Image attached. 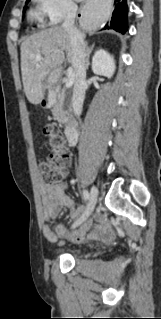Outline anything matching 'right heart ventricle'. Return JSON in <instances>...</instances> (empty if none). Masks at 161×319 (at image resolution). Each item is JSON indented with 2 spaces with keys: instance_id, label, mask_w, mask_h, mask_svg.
Wrapping results in <instances>:
<instances>
[{
  "instance_id": "e07e8e85",
  "label": "right heart ventricle",
  "mask_w": 161,
  "mask_h": 319,
  "mask_svg": "<svg viewBox=\"0 0 161 319\" xmlns=\"http://www.w3.org/2000/svg\"><path fill=\"white\" fill-rule=\"evenodd\" d=\"M30 17L34 20H38L40 22H43L44 18H45V14L42 11V9L40 8V9L32 10L30 13Z\"/></svg>"
}]
</instances>
